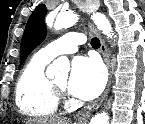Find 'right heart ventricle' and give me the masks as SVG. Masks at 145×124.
I'll return each mask as SVG.
<instances>
[{"label": "right heart ventricle", "instance_id": "1", "mask_svg": "<svg viewBox=\"0 0 145 124\" xmlns=\"http://www.w3.org/2000/svg\"><path fill=\"white\" fill-rule=\"evenodd\" d=\"M49 62L36 54L18 77L15 102L20 112L29 117L46 118L57 113L58 99L45 75V67Z\"/></svg>", "mask_w": 145, "mask_h": 124}]
</instances>
